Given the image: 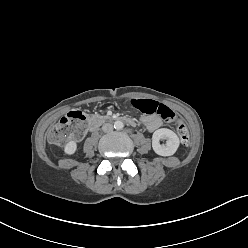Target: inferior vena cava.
Wrapping results in <instances>:
<instances>
[{
    "mask_svg": "<svg viewBox=\"0 0 248 248\" xmlns=\"http://www.w3.org/2000/svg\"><path fill=\"white\" fill-rule=\"evenodd\" d=\"M102 131L105 132V133L112 132L113 131V125L111 123H105L102 126Z\"/></svg>",
    "mask_w": 248,
    "mask_h": 248,
    "instance_id": "1",
    "label": "inferior vena cava"
}]
</instances>
